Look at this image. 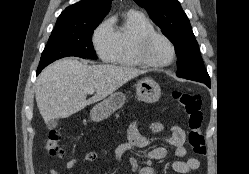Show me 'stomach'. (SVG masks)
<instances>
[{
  "label": "stomach",
  "instance_id": "1",
  "mask_svg": "<svg viewBox=\"0 0 249 174\" xmlns=\"http://www.w3.org/2000/svg\"><path fill=\"white\" fill-rule=\"evenodd\" d=\"M136 93L141 101L146 103H155L161 96V89L154 80L145 78L138 81ZM125 95L121 92L111 94L107 99L97 104L90 112L93 121H102L109 117L125 103Z\"/></svg>",
  "mask_w": 249,
  "mask_h": 174
}]
</instances>
